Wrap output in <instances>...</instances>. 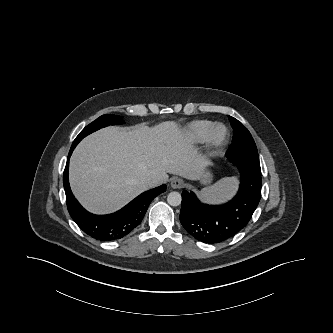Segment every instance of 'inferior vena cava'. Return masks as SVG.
<instances>
[{
    "mask_svg": "<svg viewBox=\"0 0 333 333\" xmlns=\"http://www.w3.org/2000/svg\"><path fill=\"white\" fill-rule=\"evenodd\" d=\"M146 183L150 186H153L156 184V179H154V178L146 179Z\"/></svg>",
    "mask_w": 333,
    "mask_h": 333,
    "instance_id": "602c4592",
    "label": "inferior vena cava"
}]
</instances>
